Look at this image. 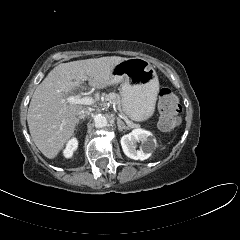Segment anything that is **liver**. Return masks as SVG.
<instances>
[{
    "instance_id": "liver-1",
    "label": "liver",
    "mask_w": 240,
    "mask_h": 240,
    "mask_svg": "<svg viewBox=\"0 0 240 240\" xmlns=\"http://www.w3.org/2000/svg\"><path fill=\"white\" fill-rule=\"evenodd\" d=\"M128 58L111 56L62 63L49 72L37 86L28 108L27 122L31 137L44 156L55 158L74 135L83 104H70L68 95L81 86L87 76L91 87L106 88L113 70Z\"/></svg>"
}]
</instances>
